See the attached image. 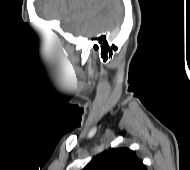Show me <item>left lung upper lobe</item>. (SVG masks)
Listing matches in <instances>:
<instances>
[{
	"label": "left lung upper lobe",
	"mask_w": 190,
	"mask_h": 170,
	"mask_svg": "<svg viewBox=\"0 0 190 170\" xmlns=\"http://www.w3.org/2000/svg\"><path fill=\"white\" fill-rule=\"evenodd\" d=\"M83 170H146V167L134 151L116 148L98 154Z\"/></svg>",
	"instance_id": "5c2ea615"
}]
</instances>
